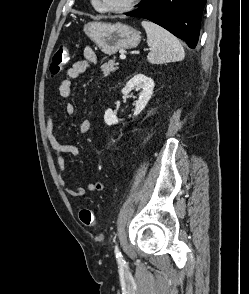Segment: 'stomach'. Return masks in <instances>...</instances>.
I'll list each match as a JSON object with an SVG mask.
<instances>
[{
  "mask_svg": "<svg viewBox=\"0 0 249 294\" xmlns=\"http://www.w3.org/2000/svg\"><path fill=\"white\" fill-rule=\"evenodd\" d=\"M84 31L95 45L108 55L115 54L120 49L134 48L141 40L138 30L119 22H89L85 25Z\"/></svg>",
  "mask_w": 249,
  "mask_h": 294,
  "instance_id": "obj_1",
  "label": "stomach"
}]
</instances>
